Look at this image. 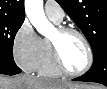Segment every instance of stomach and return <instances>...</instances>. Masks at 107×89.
<instances>
[{
  "mask_svg": "<svg viewBox=\"0 0 107 89\" xmlns=\"http://www.w3.org/2000/svg\"><path fill=\"white\" fill-rule=\"evenodd\" d=\"M66 89H79V88L69 86V87H67Z\"/></svg>",
  "mask_w": 107,
  "mask_h": 89,
  "instance_id": "stomach-1",
  "label": "stomach"
}]
</instances>
